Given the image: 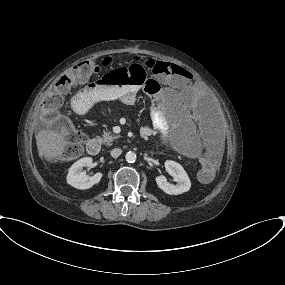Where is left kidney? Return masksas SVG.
<instances>
[{
    "mask_svg": "<svg viewBox=\"0 0 285 285\" xmlns=\"http://www.w3.org/2000/svg\"><path fill=\"white\" fill-rule=\"evenodd\" d=\"M166 171L178 182L176 185L170 184L166 177L161 175L156 177L158 187L170 195H178L189 191L191 187L190 179L184 168L177 162L167 160L165 162Z\"/></svg>",
    "mask_w": 285,
    "mask_h": 285,
    "instance_id": "left-kidney-1",
    "label": "left kidney"
}]
</instances>
